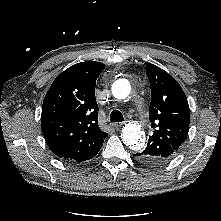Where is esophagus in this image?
<instances>
[{"label": "esophagus", "instance_id": "34e87169", "mask_svg": "<svg viewBox=\"0 0 221 221\" xmlns=\"http://www.w3.org/2000/svg\"><path fill=\"white\" fill-rule=\"evenodd\" d=\"M123 124H124L123 122H117V123H114L113 126L115 128H119V127L123 126Z\"/></svg>", "mask_w": 221, "mask_h": 221}]
</instances>
